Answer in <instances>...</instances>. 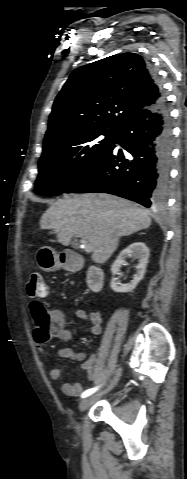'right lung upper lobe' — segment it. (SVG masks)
Listing matches in <instances>:
<instances>
[{"label": "right lung upper lobe", "mask_w": 187, "mask_h": 479, "mask_svg": "<svg viewBox=\"0 0 187 479\" xmlns=\"http://www.w3.org/2000/svg\"><path fill=\"white\" fill-rule=\"evenodd\" d=\"M161 97L148 63L138 54H116L82 66L55 99L44 145L84 130H119Z\"/></svg>", "instance_id": "cb5924a9"}]
</instances>
